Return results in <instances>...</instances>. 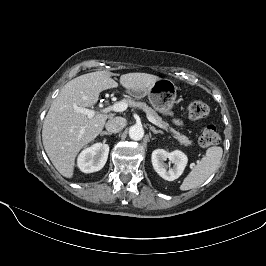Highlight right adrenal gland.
I'll list each match as a JSON object with an SVG mask.
<instances>
[{"mask_svg": "<svg viewBox=\"0 0 266 266\" xmlns=\"http://www.w3.org/2000/svg\"><path fill=\"white\" fill-rule=\"evenodd\" d=\"M100 135H101V136H103V135H109V136H111L112 133H109V132H106V131H102V132L100 133Z\"/></svg>", "mask_w": 266, "mask_h": 266, "instance_id": "1", "label": "right adrenal gland"}]
</instances>
